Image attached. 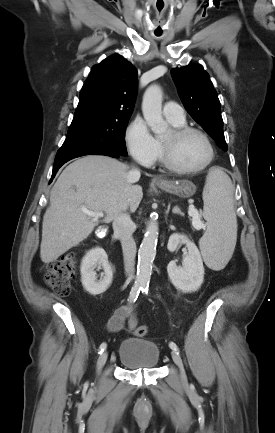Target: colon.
Instances as JSON below:
<instances>
[{
	"instance_id": "5ec220e1",
	"label": "colon",
	"mask_w": 275,
	"mask_h": 433,
	"mask_svg": "<svg viewBox=\"0 0 275 433\" xmlns=\"http://www.w3.org/2000/svg\"><path fill=\"white\" fill-rule=\"evenodd\" d=\"M75 276L76 253L71 251L49 264L45 274V281L57 294L65 296L69 294ZM147 333L148 328L146 325L137 324L134 330L137 337H144Z\"/></svg>"
}]
</instances>
